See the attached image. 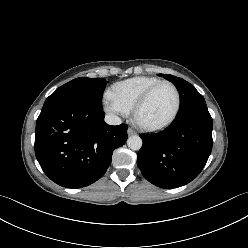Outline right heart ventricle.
Segmentation results:
<instances>
[{"label": "right heart ventricle", "mask_w": 248, "mask_h": 248, "mask_svg": "<svg viewBox=\"0 0 248 248\" xmlns=\"http://www.w3.org/2000/svg\"><path fill=\"white\" fill-rule=\"evenodd\" d=\"M159 81L161 80L151 76L133 77L114 84L111 88V95L130 111L144 92Z\"/></svg>", "instance_id": "obj_1"}]
</instances>
